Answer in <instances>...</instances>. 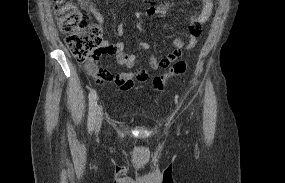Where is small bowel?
I'll use <instances>...</instances> for the list:
<instances>
[{
	"label": "small bowel",
	"mask_w": 285,
	"mask_h": 183,
	"mask_svg": "<svg viewBox=\"0 0 285 183\" xmlns=\"http://www.w3.org/2000/svg\"><path fill=\"white\" fill-rule=\"evenodd\" d=\"M202 9L197 15H193L188 20L189 32L188 41L185 42L181 38H176L174 40V50L169 52L163 58H158L152 55L149 59V67L153 71H157L162 68H167L178 59L183 56V52L194 48L198 42V38L201 34V28L206 24L211 18L214 0H200ZM81 7L88 11L95 20L102 25L105 18L101 11L92 3L91 0H78ZM155 2V1H154ZM168 10V5L166 2L160 1L155 2L147 11V16L163 17L166 15ZM124 32L123 24H120L117 33L122 35ZM137 47L142 51H147L150 49V45L145 42L137 44ZM112 55L116 57L119 64L131 68L135 61L136 55L133 52L126 50L125 43L123 42H110L108 40L102 41V48L98 53L97 57L90 60L84 64V70L89 77L95 80L98 84L111 83L114 84L120 91L128 92L135 86L136 82L142 83L148 79V72L146 69L139 68L135 71H125L119 73H112L111 71L101 68L97 65L98 58L101 55ZM137 75L142 76V79H138Z\"/></svg>",
	"instance_id": "small-bowel-1"
}]
</instances>
